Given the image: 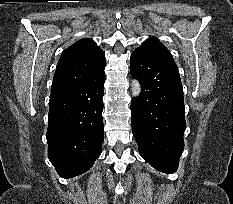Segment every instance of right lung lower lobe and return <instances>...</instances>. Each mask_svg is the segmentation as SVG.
<instances>
[{"label": "right lung lower lobe", "mask_w": 233, "mask_h": 204, "mask_svg": "<svg viewBox=\"0 0 233 204\" xmlns=\"http://www.w3.org/2000/svg\"><path fill=\"white\" fill-rule=\"evenodd\" d=\"M105 66L89 81L51 93L48 158L63 178L80 175L100 156Z\"/></svg>", "instance_id": "1"}]
</instances>
